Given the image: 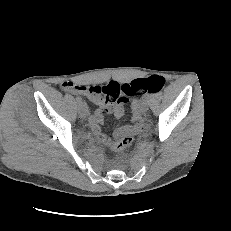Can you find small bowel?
<instances>
[{
	"mask_svg": "<svg viewBox=\"0 0 231 231\" xmlns=\"http://www.w3.org/2000/svg\"><path fill=\"white\" fill-rule=\"evenodd\" d=\"M112 83L118 84L117 82H110L109 84ZM108 85L87 86L78 85L70 81L62 83L63 90L73 94L84 95L98 105L97 109L90 115L89 123L92 131L94 132L98 140L104 145H108L111 143V139L101 129V124L104 122L105 116L113 115L116 118L123 117L125 114V105L128 102V99L124 97H121L117 100H112L110 97H108ZM136 126L120 127L114 132V137L119 138L128 131L133 132Z\"/></svg>",
	"mask_w": 231,
	"mask_h": 231,
	"instance_id": "small-bowel-1",
	"label": "small bowel"
}]
</instances>
